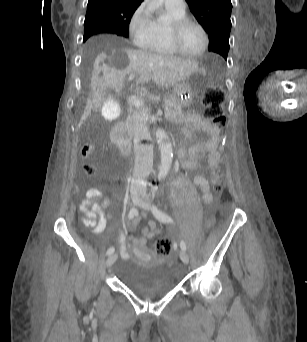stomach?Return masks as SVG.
<instances>
[{"instance_id": "stomach-1", "label": "stomach", "mask_w": 307, "mask_h": 342, "mask_svg": "<svg viewBox=\"0 0 307 342\" xmlns=\"http://www.w3.org/2000/svg\"><path fill=\"white\" fill-rule=\"evenodd\" d=\"M201 76L202 72L196 71L174 87L172 96L180 106L191 104L199 89Z\"/></svg>"}]
</instances>
